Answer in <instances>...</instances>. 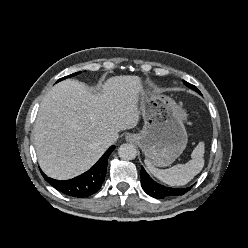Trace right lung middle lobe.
<instances>
[{
	"label": "right lung middle lobe",
	"instance_id": "dd1d6c3e",
	"mask_svg": "<svg viewBox=\"0 0 248 248\" xmlns=\"http://www.w3.org/2000/svg\"><path fill=\"white\" fill-rule=\"evenodd\" d=\"M80 73H81V72L73 73V74H71V75H69V76H66V77H63V78L59 79L57 82H59V81H61V80H63V79H66V78H68V77L75 76V75L80 74Z\"/></svg>",
	"mask_w": 248,
	"mask_h": 248
}]
</instances>
